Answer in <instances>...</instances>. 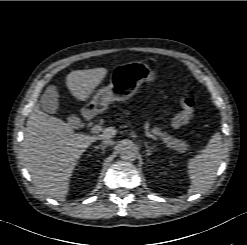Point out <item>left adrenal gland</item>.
I'll return each instance as SVG.
<instances>
[{
	"label": "left adrenal gland",
	"mask_w": 247,
	"mask_h": 245,
	"mask_svg": "<svg viewBox=\"0 0 247 245\" xmlns=\"http://www.w3.org/2000/svg\"><path fill=\"white\" fill-rule=\"evenodd\" d=\"M144 145L146 147V155L149 157L150 155H152V152H153L154 148L149 146L146 142H145Z\"/></svg>",
	"instance_id": "a2214340"
}]
</instances>
